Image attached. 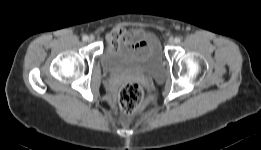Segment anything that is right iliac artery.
I'll return each mask as SVG.
<instances>
[{
	"label": "right iliac artery",
	"instance_id": "right-iliac-artery-1",
	"mask_svg": "<svg viewBox=\"0 0 261 150\" xmlns=\"http://www.w3.org/2000/svg\"><path fill=\"white\" fill-rule=\"evenodd\" d=\"M82 40H83V41H87V40H88V36H87V35H84V36L82 37Z\"/></svg>",
	"mask_w": 261,
	"mask_h": 150
}]
</instances>
